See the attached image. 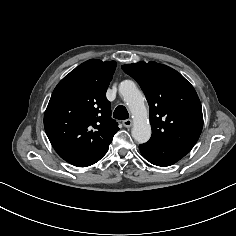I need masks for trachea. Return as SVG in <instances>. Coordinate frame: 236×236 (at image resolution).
<instances>
[{"label":"trachea","mask_w":236,"mask_h":236,"mask_svg":"<svg viewBox=\"0 0 236 236\" xmlns=\"http://www.w3.org/2000/svg\"><path fill=\"white\" fill-rule=\"evenodd\" d=\"M113 117L118 120L128 119L129 114L127 109L123 105H119L116 107Z\"/></svg>","instance_id":"obj_1"}]
</instances>
